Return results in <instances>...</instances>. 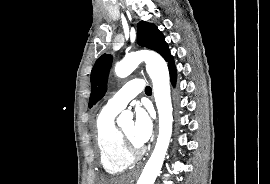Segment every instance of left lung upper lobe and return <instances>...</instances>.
<instances>
[{"mask_svg": "<svg viewBox=\"0 0 270 184\" xmlns=\"http://www.w3.org/2000/svg\"><path fill=\"white\" fill-rule=\"evenodd\" d=\"M137 30L138 44L158 52L167 61L170 57V51L163 34L158 28L152 23L141 21L137 25ZM111 64V55L103 54L96 60L91 72L89 107H92L104 96Z\"/></svg>", "mask_w": 270, "mask_h": 184, "instance_id": "1", "label": "left lung upper lobe"}]
</instances>
